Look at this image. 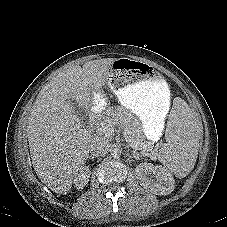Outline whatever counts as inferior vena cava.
<instances>
[{"mask_svg":"<svg viewBox=\"0 0 227 227\" xmlns=\"http://www.w3.org/2000/svg\"><path fill=\"white\" fill-rule=\"evenodd\" d=\"M109 150V143L102 138H95L92 140L89 151L91 155L98 157L105 155L107 151Z\"/></svg>","mask_w":227,"mask_h":227,"instance_id":"obj_1","label":"inferior vena cava"}]
</instances>
